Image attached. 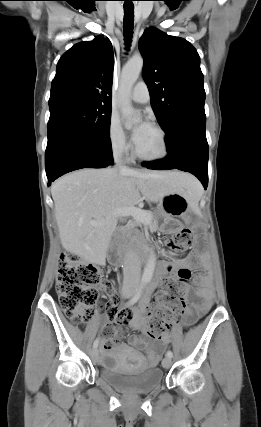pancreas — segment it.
Instances as JSON below:
<instances>
[{
    "label": "pancreas",
    "instance_id": "obj_1",
    "mask_svg": "<svg viewBox=\"0 0 261 427\" xmlns=\"http://www.w3.org/2000/svg\"><path fill=\"white\" fill-rule=\"evenodd\" d=\"M147 212H148L150 218H149V221L146 222V224L149 226V228H150L151 231H154V230L157 229V225L155 223V219H154L153 213L150 212V211H147ZM139 224H140L139 222H135L134 223V225H139Z\"/></svg>",
    "mask_w": 261,
    "mask_h": 427
}]
</instances>
